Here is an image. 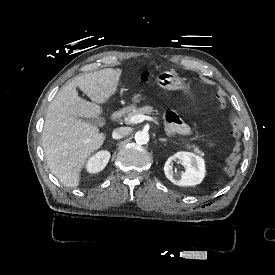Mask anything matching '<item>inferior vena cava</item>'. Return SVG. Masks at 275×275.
I'll return each instance as SVG.
<instances>
[{
  "mask_svg": "<svg viewBox=\"0 0 275 275\" xmlns=\"http://www.w3.org/2000/svg\"><path fill=\"white\" fill-rule=\"evenodd\" d=\"M131 131L132 130L129 127H119L113 131L112 137H113V139H121V138L129 135L131 133Z\"/></svg>",
  "mask_w": 275,
  "mask_h": 275,
  "instance_id": "1",
  "label": "inferior vena cava"
}]
</instances>
